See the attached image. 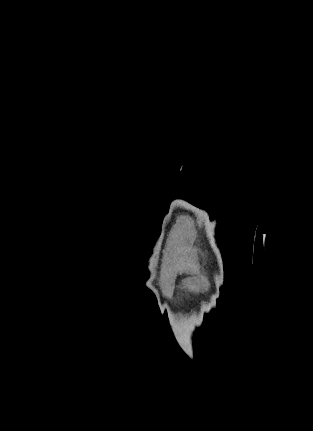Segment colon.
<instances>
[{
    "label": "colon",
    "mask_w": 313,
    "mask_h": 431,
    "mask_svg": "<svg viewBox=\"0 0 313 431\" xmlns=\"http://www.w3.org/2000/svg\"><path fill=\"white\" fill-rule=\"evenodd\" d=\"M236 116L235 114H232L231 117Z\"/></svg>",
    "instance_id": "colon-1"
}]
</instances>
